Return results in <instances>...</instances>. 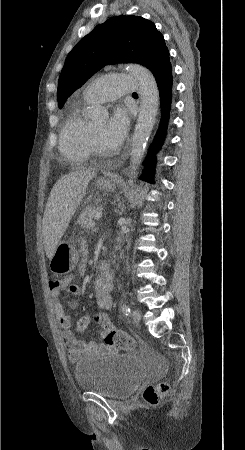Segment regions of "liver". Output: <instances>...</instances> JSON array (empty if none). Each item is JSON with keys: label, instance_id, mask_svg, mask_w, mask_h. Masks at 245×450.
Instances as JSON below:
<instances>
[{"label": "liver", "instance_id": "liver-1", "mask_svg": "<svg viewBox=\"0 0 245 450\" xmlns=\"http://www.w3.org/2000/svg\"><path fill=\"white\" fill-rule=\"evenodd\" d=\"M95 175V169L81 168L60 178L51 189L42 225L44 246L49 260Z\"/></svg>", "mask_w": 245, "mask_h": 450}]
</instances>
